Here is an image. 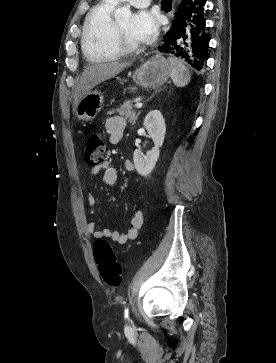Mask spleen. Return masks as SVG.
<instances>
[{"label": "spleen", "mask_w": 276, "mask_h": 363, "mask_svg": "<svg viewBox=\"0 0 276 363\" xmlns=\"http://www.w3.org/2000/svg\"><path fill=\"white\" fill-rule=\"evenodd\" d=\"M170 63V76L171 79L177 87L186 86L191 80V73L187 67L179 59L171 57L169 59Z\"/></svg>", "instance_id": "spleen-1"}]
</instances>
